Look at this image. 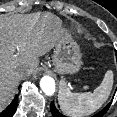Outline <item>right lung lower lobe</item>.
<instances>
[{
  "label": "right lung lower lobe",
  "instance_id": "obj_1",
  "mask_svg": "<svg viewBox=\"0 0 117 117\" xmlns=\"http://www.w3.org/2000/svg\"><path fill=\"white\" fill-rule=\"evenodd\" d=\"M18 105V95L15 96L11 104L4 110L3 112L0 113V117H12L16 111Z\"/></svg>",
  "mask_w": 117,
  "mask_h": 117
}]
</instances>
